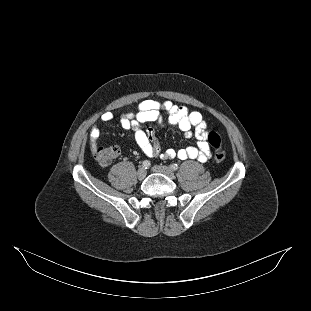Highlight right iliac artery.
Instances as JSON below:
<instances>
[{"instance_id":"82829eb1","label":"right iliac artery","mask_w":311,"mask_h":311,"mask_svg":"<svg viewBox=\"0 0 311 311\" xmlns=\"http://www.w3.org/2000/svg\"><path fill=\"white\" fill-rule=\"evenodd\" d=\"M150 165H151L150 161L145 160V161H143V163H142V168L147 169V168L150 167Z\"/></svg>"}]
</instances>
